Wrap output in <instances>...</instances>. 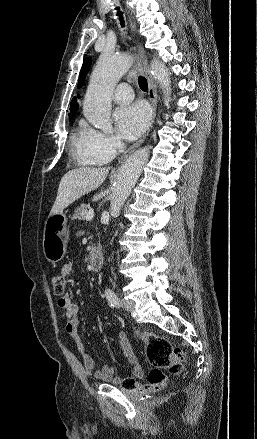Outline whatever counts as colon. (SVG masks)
Instances as JSON below:
<instances>
[{
	"label": "colon",
	"instance_id": "obj_1",
	"mask_svg": "<svg viewBox=\"0 0 257 439\" xmlns=\"http://www.w3.org/2000/svg\"><path fill=\"white\" fill-rule=\"evenodd\" d=\"M53 291L57 296L65 294V280L59 274L52 277ZM144 342L148 361L153 366L147 383L141 386L136 380L127 378L122 383L125 390H159L167 379V373L177 374L184 365V354L180 348L174 347L167 339L148 332H137Z\"/></svg>",
	"mask_w": 257,
	"mask_h": 439
}]
</instances>
